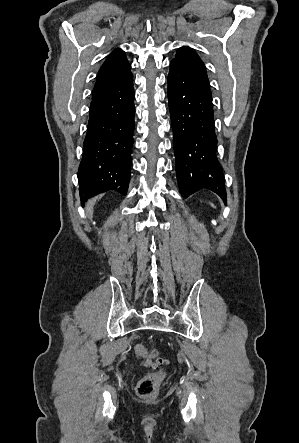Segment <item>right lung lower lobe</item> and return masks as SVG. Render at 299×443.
<instances>
[{"label":"right lung lower lobe","mask_w":299,"mask_h":443,"mask_svg":"<svg viewBox=\"0 0 299 443\" xmlns=\"http://www.w3.org/2000/svg\"><path fill=\"white\" fill-rule=\"evenodd\" d=\"M134 113L132 73L92 98L84 153L78 169L81 200L109 190L126 194Z\"/></svg>","instance_id":"obj_1"}]
</instances>
